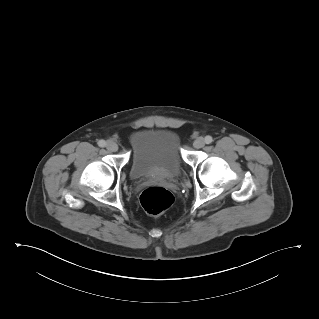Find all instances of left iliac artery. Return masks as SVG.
Returning a JSON list of instances; mask_svg holds the SVG:
<instances>
[{"instance_id": "1", "label": "left iliac artery", "mask_w": 319, "mask_h": 319, "mask_svg": "<svg viewBox=\"0 0 319 319\" xmlns=\"http://www.w3.org/2000/svg\"><path fill=\"white\" fill-rule=\"evenodd\" d=\"M205 142H206V144H210V143L213 142V138L208 135V136L205 137Z\"/></svg>"}]
</instances>
